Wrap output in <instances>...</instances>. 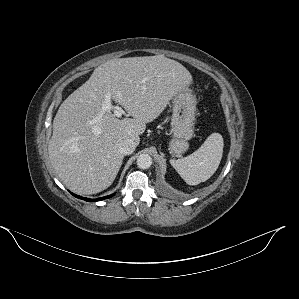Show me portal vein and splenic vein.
Wrapping results in <instances>:
<instances>
[{"label":"portal vein and splenic vein","instance_id":"portal-vein-and-splenic-vein-1","mask_svg":"<svg viewBox=\"0 0 299 299\" xmlns=\"http://www.w3.org/2000/svg\"><path fill=\"white\" fill-rule=\"evenodd\" d=\"M103 110L104 111L112 110L114 113V116L117 118H120L123 114V111L120 108L112 106L110 94H107L105 97V101L103 103Z\"/></svg>","mask_w":299,"mask_h":299}]
</instances>
